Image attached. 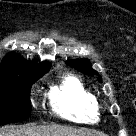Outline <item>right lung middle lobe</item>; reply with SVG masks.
<instances>
[{"label": "right lung middle lobe", "mask_w": 136, "mask_h": 136, "mask_svg": "<svg viewBox=\"0 0 136 136\" xmlns=\"http://www.w3.org/2000/svg\"><path fill=\"white\" fill-rule=\"evenodd\" d=\"M44 74L37 77L17 76L0 79V126L30 117L31 85Z\"/></svg>", "instance_id": "1"}]
</instances>
